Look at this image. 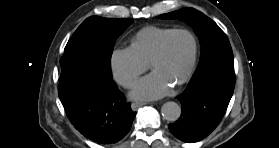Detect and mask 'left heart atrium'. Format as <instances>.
<instances>
[{
    "label": "left heart atrium",
    "instance_id": "39dd6f15",
    "mask_svg": "<svg viewBox=\"0 0 279 148\" xmlns=\"http://www.w3.org/2000/svg\"><path fill=\"white\" fill-rule=\"evenodd\" d=\"M171 90L170 81L158 74L151 73L137 82L131 97L140 100H155L168 95Z\"/></svg>",
    "mask_w": 279,
    "mask_h": 148
}]
</instances>
